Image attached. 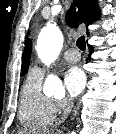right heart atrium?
<instances>
[{"instance_id":"1","label":"right heart atrium","mask_w":116,"mask_h":134,"mask_svg":"<svg viewBox=\"0 0 116 134\" xmlns=\"http://www.w3.org/2000/svg\"><path fill=\"white\" fill-rule=\"evenodd\" d=\"M70 103L67 99H55L53 100V107L55 113H64L69 109Z\"/></svg>"}]
</instances>
